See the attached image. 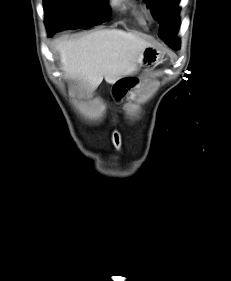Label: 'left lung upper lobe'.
Masks as SVG:
<instances>
[{
    "label": "left lung upper lobe",
    "mask_w": 231,
    "mask_h": 281,
    "mask_svg": "<svg viewBox=\"0 0 231 281\" xmlns=\"http://www.w3.org/2000/svg\"><path fill=\"white\" fill-rule=\"evenodd\" d=\"M148 5H151L152 11L159 20L160 37L172 48L176 49L175 41L172 38V32L179 30L178 14L180 8L178 4L180 0H144Z\"/></svg>",
    "instance_id": "5c2ea615"
}]
</instances>
